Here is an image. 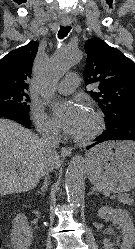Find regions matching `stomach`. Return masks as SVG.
<instances>
[{
  "label": "stomach",
  "instance_id": "stomach-1",
  "mask_svg": "<svg viewBox=\"0 0 135 249\" xmlns=\"http://www.w3.org/2000/svg\"><path fill=\"white\" fill-rule=\"evenodd\" d=\"M90 182L109 192L135 188V142L109 141L92 149L87 156Z\"/></svg>",
  "mask_w": 135,
  "mask_h": 249
}]
</instances>
